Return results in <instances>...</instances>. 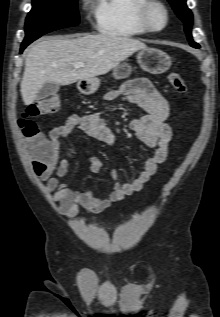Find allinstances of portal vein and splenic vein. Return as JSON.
<instances>
[{
	"mask_svg": "<svg viewBox=\"0 0 220 317\" xmlns=\"http://www.w3.org/2000/svg\"><path fill=\"white\" fill-rule=\"evenodd\" d=\"M84 66H85V64L82 63V62H80V63L75 64V65H74V68H75V69H78V68H81V67H84Z\"/></svg>",
	"mask_w": 220,
	"mask_h": 317,
	"instance_id": "1",
	"label": "portal vein and splenic vein"
}]
</instances>
